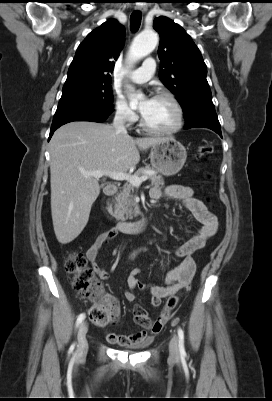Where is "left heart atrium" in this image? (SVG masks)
<instances>
[{
  "instance_id": "1",
  "label": "left heart atrium",
  "mask_w": 272,
  "mask_h": 401,
  "mask_svg": "<svg viewBox=\"0 0 272 401\" xmlns=\"http://www.w3.org/2000/svg\"><path fill=\"white\" fill-rule=\"evenodd\" d=\"M152 99H147L146 101H144V107L142 109H140L141 113L143 112L144 108L151 102Z\"/></svg>"
}]
</instances>
